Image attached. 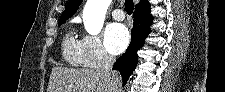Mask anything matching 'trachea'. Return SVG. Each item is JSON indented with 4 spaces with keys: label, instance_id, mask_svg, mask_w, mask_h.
I'll list each match as a JSON object with an SVG mask.
<instances>
[{
    "label": "trachea",
    "instance_id": "obj_1",
    "mask_svg": "<svg viewBox=\"0 0 225 92\" xmlns=\"http://www.w3.org/2000/svg\"><path fill=\"white\" fill-rule=\"evenodd\" d=\"M125 10L127 14L131 15L134 10V2L133 0H125Z\"/></svg>",
    "mask_w": 225,
    "mask_h": 92
}]
</instances>
